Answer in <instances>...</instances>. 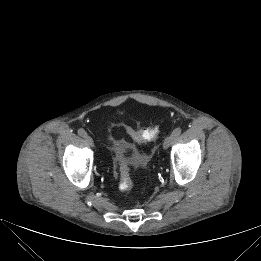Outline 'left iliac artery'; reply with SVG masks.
<instances>
[{"instance_id": "1", "label": "left iliac artery", "mask_w": 261, "mask_h": 261, "mask_svg": "<svg viewBox=\"0 0 261 261\" xmlns=\"http://www.w3.org/2000/svg\"><path fill=\"white\" fill-rule=\"evenodd\" d=\"M182 129L180 127L176 128L173 132H172V136L174 138L178 137L181 134Z\"/></svg>"}]
</instances>
